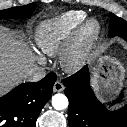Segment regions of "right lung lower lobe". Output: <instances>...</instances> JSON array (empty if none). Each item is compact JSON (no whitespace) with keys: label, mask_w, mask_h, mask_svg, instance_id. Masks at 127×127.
I'll use <instances>...</instances> for the list:
<instances>
[{"label":"right lung lower lobe","mask_w":127,"mask_h":127,"mask_svg":"<svg viewBox=\"0 0 127 127\" xmlns=\"http://www.w3.org/2000/svg\"><path fill=\"white\" fill-rule=\"evenodd\" d=\"M55 81L56 74L49 73L41 81L21 84L0 98V127H35Z\"/></svg>","instance_id":"obj_1"}]
</instances>
